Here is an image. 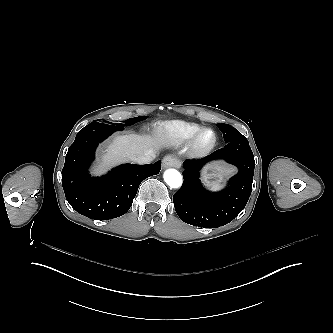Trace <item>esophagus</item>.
Returning <instances> with one entry per match:
<instances>
[{
    "label": "esophagus",
    "instance_id": "obj_1",
    "mask_svg": "<svg viewBox=\"0 0 333 333\" xmlns=\"http://www.w3.org/2000/svg\"><path fill=\"white\" fill-rule=\"evenodd\" d=\"M181 161L172 155H167L162 160V165L164 168L175 167L179 168L181 166Z\"/></svg>",
    "mask_w": 333,
    "mask_h": 333
}]
</instances>
